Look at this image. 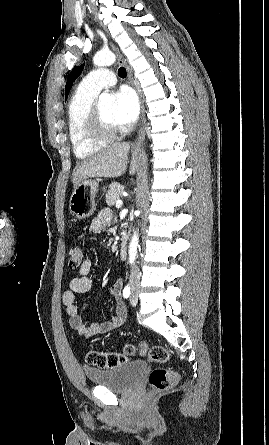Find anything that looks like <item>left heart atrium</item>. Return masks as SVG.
<instances>
[{"mask_svg": "<svg viewBox=\"0 0 269 445\" xmlns=\"http://www.w3.org/2000/svg\"><path fill=\"white\" fill-rule=\"evenodd\" d=\"M113 107V117L118 125H131L138 117V98L134 91L128 87H122L114 94Z\"/></svg>", "mask_w": 269, "mask_h": 445, "instance_id": "39dd6f15", "label": "left heart atrium"}]
</instances>
